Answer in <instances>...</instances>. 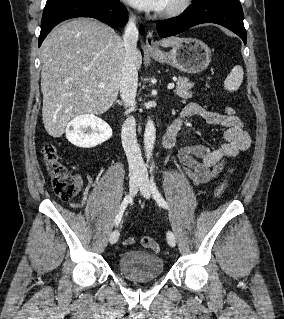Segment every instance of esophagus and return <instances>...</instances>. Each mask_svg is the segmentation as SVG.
<instances>
[{"instance_id": "34e87169", "label": "esophagus", "mask_w": 284, "mask_h": 319, "mask_svg": "<svg viewBox=\"0 0 284 319\" xmlns=\"http://www.w3.org/2000/svg\"><path fill=\"white\" fill-rule=\"evenodd\" d=\"M144 49L148 52H155L158 49L155 42H154L152 31H148V33H147L146 42L144 44Z\"/></svg>"}]
</instances>
